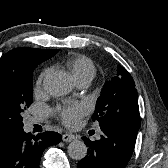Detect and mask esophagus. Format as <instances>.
<instances>
[{
	"label": "esophagus",
	"mask_w": 168,
	"mask_h": 168,
	"mask_svg": "<svg viewBox=\"0 0 168 168\" xmlns=\"http://www.w3.org/2000/svg\"><path fill=\"white\" fill-rule=\"evenodd\" d=\"M76 139V136L73 134L65 133L62 135V140L64 142H71Z\"/></svg>",
	"instance_id": "obj_1"
}]
</instances>
